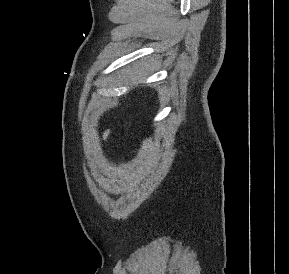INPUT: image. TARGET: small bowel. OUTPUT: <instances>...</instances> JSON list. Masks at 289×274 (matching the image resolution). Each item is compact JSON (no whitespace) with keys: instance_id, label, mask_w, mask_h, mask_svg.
<instances>
[{"instance_id":"c3829d8e","label":"small bowel","mask_w":289,"mask_h":274,"mask_svg":"<svg viewBox=\"0 0 289 274\" xmlns=\"http://www.w3.org/2000/svg\"><path fill=\"white\" fill-rule=\"evenodd\" d=\"M110 135V129H106L104 132H103V139L104 140H107L108 137Z\"/></svg>"}]
</instances>
